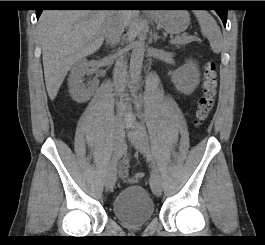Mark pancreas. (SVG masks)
Returning a JSON list of instances; mask_svg holds the SVG:
<instances>
[{
    "mask_svg": "<svg viewBox=\"0 0 265 245\" xmlns=\"http://www.w3.org/2000/svg\"><path fill=\"white\" fill-rule=\"evenodd\" d=\"M192 37V36H191ZM193 41V37H187V36H182V37H177V40L175 41V45H186L190 42Z\"/></svg>",
    "mask_w": 265,
    "mask_h": 245,
    "instance_id": "1",
    "label": "pancreas"
}]
</instances>
